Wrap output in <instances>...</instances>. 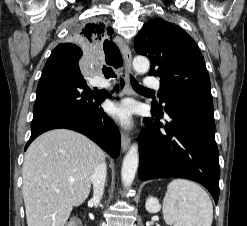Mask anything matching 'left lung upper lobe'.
Returning a JSON list of instances; mask_svg holds the SVG:
<instances>
[{
    "label": "left lung upper lobe",
    "mask_w": 247,
    "mask_h": 226,
    "mask_svg": "<svg viewBox=\"0 0 247 226\" xmlns=\"http://www.w3.org/2000/svg\"><path fill=\"white\" fill-rule=\"evenodd\" d=\"M134 47L140 55L150 59L149 75L161 78L160 103L180 86H210L204 58L196 42L179 26L160 18L150 20L135 37Z\"/></svg>",
    "instance_id": "5c2ea615"
}]
</instances>
